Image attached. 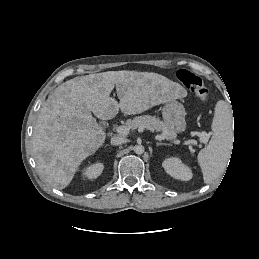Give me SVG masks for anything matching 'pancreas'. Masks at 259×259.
I'll use <instances>...</instances> for the list:
<instances>
[{"label": "pancreas", "instance_id": "1", "mask_svg": "<svg viewBox=\"0 0 259 259\" xmlns=\"http://www.w3.org/2000/svg\"><path fill=\"white\" fill-rule=\"evenodd\" d=\"M127 126L130 129L146 128L150 131L161 132L162 138L167 140H172L176 137V133L171 127L159 118L150 115L138 116L133 120H128Z\"/></svg>", "mask_w": 259, "mask_h": 259}]
</instances>
